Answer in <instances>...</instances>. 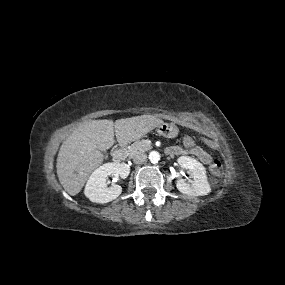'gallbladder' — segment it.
I'll return each instance as SVG.
<instances>
[{"label": "gallbladder", "instance_id": "obj_1", "mask_svg": "<svg viewBox=\"0 0 285 285\" xmlns=\"http://www.w3.org/2000/svg\"><path fill=\"white\" fill-rule=\"evenodd\" d=\"M102 155L107 158L108 157V154L106 153V151H103Z\"/></svg>", "mask_w": 285, "mask_h": 285}]
</instances>
